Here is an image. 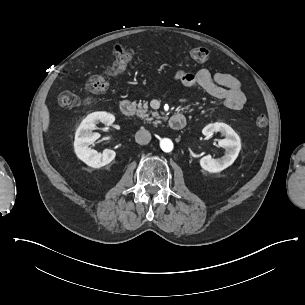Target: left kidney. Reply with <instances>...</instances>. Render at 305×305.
<instances>
[{"label": "left kidney", "instance_id": "left-kidney-1", "mask_svg": "<svg viewBox=\"0 0 305 305\" xmlns=\"http://www.w3.org/2000/svg\"><path fill=\"white\" fill-rule=\"evenodd\" d=\"M214 133H221L225 137L218 141V146L226 148V151L220 158L204 156L199 160L201 168L209 173H219L231 166L241 150L240 137L229 125L213 123L203 129L204 135L212 136Z\"/></svg>", "mask_w": 305, "mask_h": 305}]
</instances>
